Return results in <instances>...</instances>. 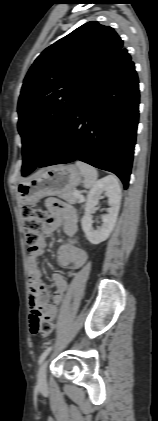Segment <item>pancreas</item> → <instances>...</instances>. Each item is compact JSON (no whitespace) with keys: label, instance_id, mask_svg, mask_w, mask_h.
Wrapping results in <instances>:
<instances>
[{"label":"pancreas","instance_id":"pancreas-1","mask_svg":"<svg viewBox=\"0 0 158 421\" xmlns=\"http://www.w3.org/2000/svg\"><path fill=\"white\" fill-rule=\"evenodd\" d=\"M74 192L75 191L72 190V191H68V192L62 194V198L64 200L68 201L69 203H72V204L84 202V198L83 197H81V198L76 197L74 195Z\"/></svg>","mask_w":158,"mask_h":421}]
</instances>
